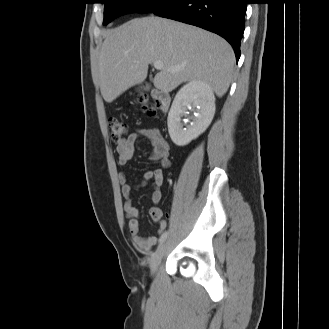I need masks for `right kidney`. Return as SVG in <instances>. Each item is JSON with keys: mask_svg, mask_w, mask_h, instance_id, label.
Here are the masks:
<instances>
[{"mask_svg": "<svg viewBox=\"0 0 329 329\" xmlns=\"http://www.w3.org/2000/svg\"><path fill=\"white\" fill-rule=\"evenodd\" d=\"M190 108L194 116L190 125H185L181 118ZM214 114L215 96L211 87L202 81H190L178 91L168 114L171 140L178 146L189 144L208 128Z\"/></svg>", "mask_w": 329, "mask_h": 329, "instance_id": "right-kidney-1", "label": "right kidney"}]
</instances>
